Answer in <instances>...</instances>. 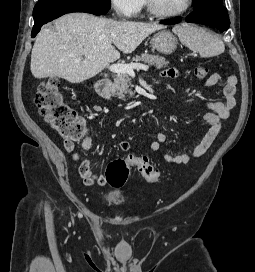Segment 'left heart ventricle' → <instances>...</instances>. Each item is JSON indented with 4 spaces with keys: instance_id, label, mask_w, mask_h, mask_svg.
<instances>
[{
    "instance_id": "left-heart-ventricle-1",
    "label": "left heart ventricle",
    "mask_w": 255,
    "mask_h": 272,
    "mask_svg": "<svg viewBox=\"0 0 255 272\" xmlns=\"http://www.w3.org/2000/svg\"><path fill=\"white\" fill-rule=\"evenodd\" d=\"M187 0H154L155 7L162 12H176L185 7Z\"/></svg>"
}]
</instances>
